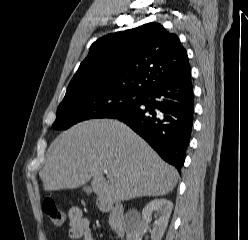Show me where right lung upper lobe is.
<instances>
[{
    "label": "right lung upper lobe",
    "mask_w": 248,
    "mask_h": 240,
    "mask_svg": "<svg viewBox=\"0 0 248 240\" xmlns=\"http://www.w3.org/2000/svg\"><path fill=\"white\" fill-rule=\"evenodd\" d=\"M189 71L187 52L178 36L152 22L94 42L67 90L103 88L145 94Z\"/></svg>",
    "instance_id": "right-lung-upper-lobe-1"
}]
</instances>
